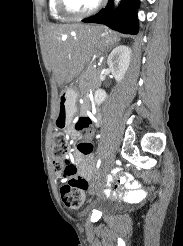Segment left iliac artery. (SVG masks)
Listing matches in <instances>:
<instances>
[{"label":"left iliac artery","mask_w":183,"mask_h":246,"mask_svg":"<svg viewBox=\"0 0 183 246\" xmlns=\"http://www.w3.org/2000/svg\"><path fill=\"white\" fill-rule=\"evenodd\" d=\"M100 165H101V159L99 158L97 161V169L100 167Z\"/></svg>","instance_id":"obj_1"}]
</instances>
